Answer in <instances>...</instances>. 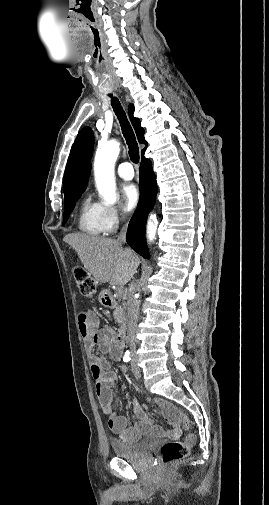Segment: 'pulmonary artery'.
<instances>
[{
	"label": "pulmonary artery",
	"mask_w": 269,
	"mask_h": 505,
	"mask_svg": "<svg viewBox=\"0 0 269 505\" xmlns=\"http://www.w3.org/2000/svg\"><path fill=\"white\" fill-rule=\"evenodd\" d=\"M117 172L125 180H131L134 177V170L129 162L121 163L117 168Z\"/></svg>",
	"instance_id": "obj_1"
}]
</instances>
